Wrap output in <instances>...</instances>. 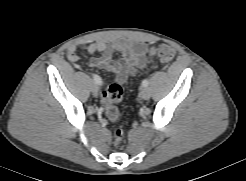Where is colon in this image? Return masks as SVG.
<instances>
[{"label":"colon","mask_w":246,"mask_h":181,"mask_svg":"<svg viewBox=\"0 0 246 181\" xmlns=\"http://www.w3.org/2000/svg\"><path fill=\"white\" fill-rule=\"evenodd\" d=\"M151 54L163 63H168L175 57V50L169 44H160L151 49ZM123 97V90L117 83L111 84L102 92V101L104 111L107 118L111 121H116L119 118L118 104ZM123 129L116 128L114 130V144L119 146L123 139Z\"/></svg>","instance_id":"colon-1"}]
</instances>
